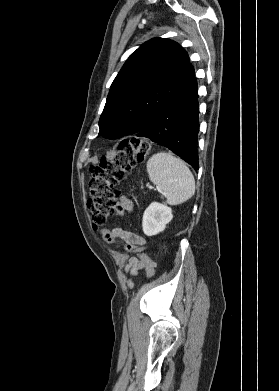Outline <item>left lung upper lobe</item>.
I'll list each match as a JSON object with an SVG mask.
<instances>
[{"label":"left lung upper lobe","mask_w":279,"mask_h":391,"mask_svg":"<svg viewBox=\"0 0 279 391\" xmlns=\"http://www.w3.org/2000/svg\"><path fill=\"white\" fill-rule=\"evenodd\" d=\"M195 76L187 52L176 42L154 38L142 44L114 79L99 120L109 139L139 133Z\"/></svg>","instance_id":"1"}]
</instances>
